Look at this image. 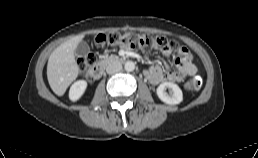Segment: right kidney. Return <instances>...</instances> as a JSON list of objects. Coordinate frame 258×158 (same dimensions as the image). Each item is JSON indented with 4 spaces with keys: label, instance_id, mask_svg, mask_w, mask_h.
Wrapping results in <instances>:
<instances>
[{
    "label": "right kidney",
    "instance_id": "1",
    "mask_svg": "<svg viewBox=\"0 0 258 158\" xmlns=\"http://www.w3.org/2000/svg\"><path fill=\"white\" fill-rule=\"evenodd\" d=\"M87 88V82L85 80L76 81L69 91V98L71 101H77L81 98Z\"/></svg>",
    "mask_w": 258,
    "mask_h": 158
}]
</instances>
